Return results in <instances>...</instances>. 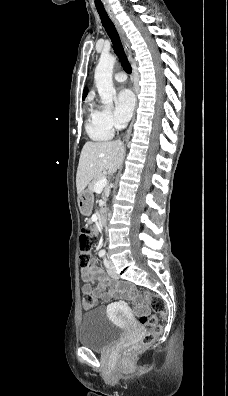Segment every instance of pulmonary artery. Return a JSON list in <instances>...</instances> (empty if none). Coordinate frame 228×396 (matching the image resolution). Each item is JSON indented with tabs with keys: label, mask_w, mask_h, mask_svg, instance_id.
Wrapping results in <instances>:
<instances>
[{
	"label": "pulmonary artery",
	"mask_w": 228,
	"mask_h": 396,
	"mask_svg": "<svg viewBox=\"0 0 228 396\" xmlns=\"http://www.w3.org/2000/svg\"><path fill=\"white\" fill-rule=\"evenodd\" d=\"M126 75L124 74V73H116L115 75H114V79H115V81H117V82H124L125 80H126Z\"/></svg>",
	"instance_id": "e3ab8cb5"
}]
</instances>
